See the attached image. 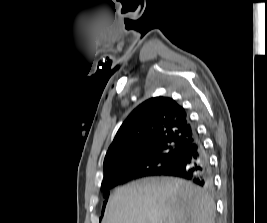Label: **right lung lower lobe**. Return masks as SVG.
Listing matches in <instances>:
<instances>
[{
	"mask_svg": "<svg viewBox=\"0 0 267 223\" xmlns=\"http://www.w3.org/2000/svg\"><path fill=\"white\" fill-rule=\"evenodd\" d=\"M196 134V131H195ZM173 176L189 180L201 187H211V175L208 156L205 149L196 134V139L188 145L180 156L164 171L155 174L132 171L124 174L109 177L101 188L104 193L108 190L123 184L129 180L146 176Z\"/></svg>",
	"mask_w": 267,
	"mask_h": 223,
	"instance_id": "obj_1",
	"label": "right lung lower lobe"
}]
</instances>
